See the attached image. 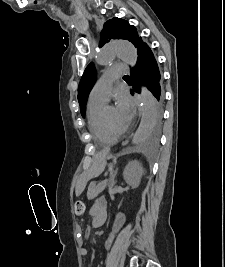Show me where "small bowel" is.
<instances>
[{
    "instance_id": "c3829d8e",
    "label": "small bowel",
    "mask_w": 225,
    "mask_h": 267,
    "mask_svg": "<svg viewBox=\"0 0 225 267\" xmlns=\"http://www.w3.org/2000/svg\"><path fill=\"white\" fill-rule=\"evenodd\" d=\"M100 212H104L106 215V205L105 202L100 200L98 201L94 206H92V208L90 209V214L93 216V220L95 219V217L100 213ZM123 224V218L122 217H118L113 225V229L112 232L109 234L107 240H106V247L109 248L112 244V241L115 237L116 232L118 231V229L122 226ZM80 254L82 256H86L87 255V249L85 247L81 248L80 250Z\"/></svg>"
}]
</instances>
